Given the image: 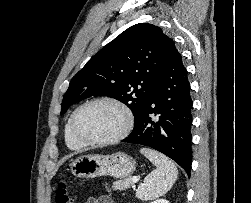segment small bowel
Wrapping results in <instances>:
<instances>
[{"instance_id": "1", "label": "small bowel", "mask_w": 251, "mask_h": 203, "mask_svg": "<svg viewBox=\"0 0 251 203\" xmlns=\"http://www.w3.org/2000/svg\"><path fill=\"white\" fill-rule=\"evenodd\" d=\"M86 203H115V202L108 196H99V197L89 198L86 201Z\"/></svg>"}]
</instances>
